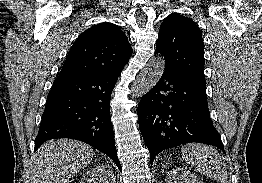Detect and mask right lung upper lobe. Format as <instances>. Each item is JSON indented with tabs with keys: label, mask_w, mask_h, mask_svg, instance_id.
<instances>
[{
	"label": "right lung upper lobe",
	"mask_w": 262,
	"mask_h": 183,
	"mask_svg": "<svg viewBox=\"0 0 262 183\" xmlns=\"http://www.w3.org/2000/svg\"><path fill=\"white\" fill-rule=\"evenodd\" d=\"M131 54L124 32L113 23L103 22L77 38L59 77L122 71Z\"/></svg>",
	"instance_id": "obj_1"
}]
</instances>
